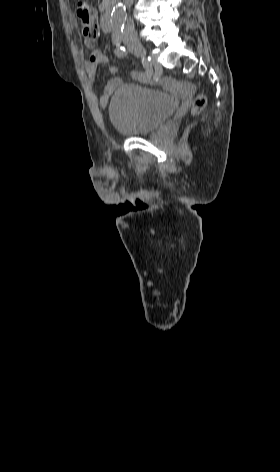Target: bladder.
<instances>
[{
    "mask_svg": "<svg viewBox=\"0 0 280 472\" xmlns=\"http://www.w3.org/2000/svg\"><path fill=\"white\" fill-rule=\"evenodd\" d=\"M176 108L177 101L166 92L123 83L111 98L109 117L119 133L138 136L156 130Z\"/></svg>",
    "mask_w": 280,
    "mask_h": 472,
    "instance_id": "obj_1",
    "label": "bladder"
}]
</instances>
